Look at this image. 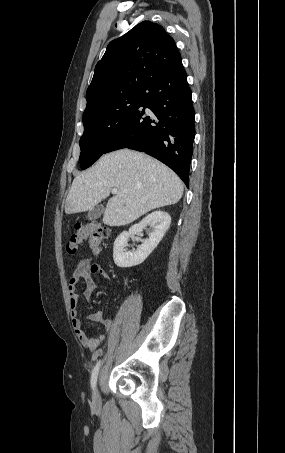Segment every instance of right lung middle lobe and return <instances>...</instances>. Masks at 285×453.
<instances>
[{
  "instance_id": "1",
  "label": "right lung middle lobe",
  "mask_w": 285,
  "mask_h": 453,
  "mask_svg": "<svg viewBox=\"0 0 285 453\" xmlns=\"http://www.w3.org/2000/svg\"><path fill=\"white\" fill-rule=\"evenodd\" d=\"M141 97V92L121 95L84 112L79 158L82 169L90 167L105 153L138 107Z\"/></svg>"
}]
</instances>
